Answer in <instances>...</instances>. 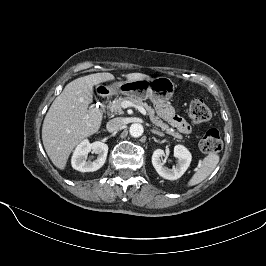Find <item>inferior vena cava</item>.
Returning <instances> with one entry per match:
<instances>
[{
  "instance_id": "602c4592",
  "label": "inferior vena cava",
  "mask_w": 266,
  "mask_h": 266,
  "mask_svg": "<svg viewBox=\"0 0 266 266\" xmlns=\"http://www.w3.org/2000/svg\"><path fill=\"white\" fill-rule=\"evenodd\" d=\"M125 122L124 119L121 117H117L111 119L107 122L106 128L109 132H116L120 130L124 126Z\"/></svg>"
}]
</instances>
